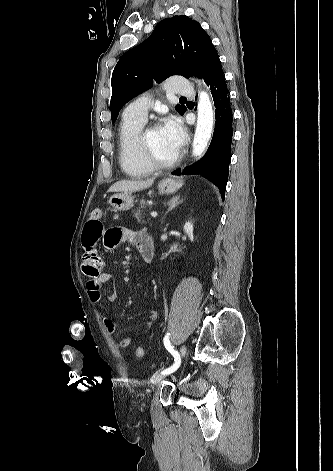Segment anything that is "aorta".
<instances>
[{"label": "aorta", "instance_id": "obj_1", "mask_svg": "<svg viewBox=\"0 0 333 471\" xmlns=\"http://www.w3.org/2000/svg\"><path fill=\"white\" fill-rule=\"evenodd\" d=\"M214 122V113L209 96L205 92L199 94V102L197 108V125L192 144V154L197 157L203 153L207 142L212 133Z\"/></svg>", "mask_w": 333, "mask_h": 471}]
</instances>
